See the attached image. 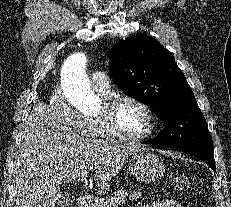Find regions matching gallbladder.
I'll return each instance as SVG.
<instances>
[{
	"label": "gallbladder",
	"instance_id": "bac80fb5",
	"mask_svg": "<svg viewBox=\"0 0 231 207\" xmlns=\"http://www.w3.org/2000/svg\"><path fill=\"white\" fill-rule=\"evenodd\" d=\"M75 201V196L71 193H61L57 201V207H67Z\"/></svg>",
	"mask_w": 231,
	"mask_h": 207
}]
</instances>
